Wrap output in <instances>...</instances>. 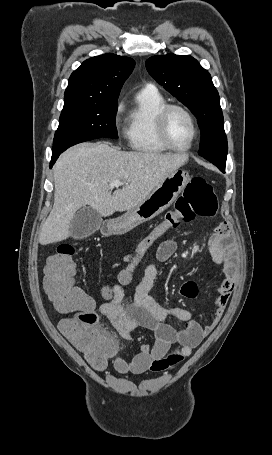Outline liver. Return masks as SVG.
<instances>
[{
	"mask_svg": "<svg viewBox=\"0 0 272 455\" xmlns=\"http://www.w3.org/2000/svg\"><path fill=\"white\" fill-rule=\"evenodd\" d=\"M187 161V155L124 152L108 143L69 148L54 166V205L40 231L39 243L66 240L71 235L70 221L86 205L103 217L133 209L166 175ZM115 180L126 184L111 194L109 185Z\"/></svg>",
	"mask_w": 272,
	"mask_h": 455,
	"instance_id": "1",
	"label": "liver"
}]
</instances>
